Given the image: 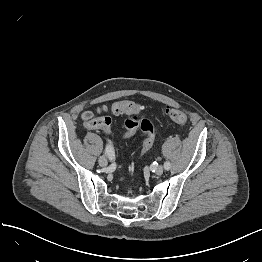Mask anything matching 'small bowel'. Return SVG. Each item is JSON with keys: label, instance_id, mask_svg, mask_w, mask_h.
<instances>
[{"label": "small bowel", "instance_id": "obj_1", "mask_svg": "<svg viewBox=\"0 0 262 262\" xmlns=\"http://www.w3.org/2000/svg\"><path fill=\"white\" fill-rule=\"evenodd\" d=\"M102 130H104V131H106V132H108L109 131V129H104V128H101Z\"/></svg>", "mask_w": 262, "mask_h": 262}]
</instances>
